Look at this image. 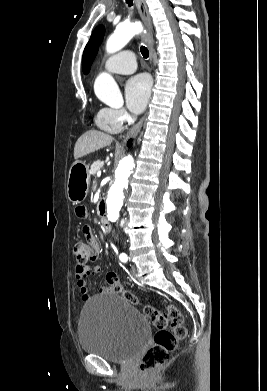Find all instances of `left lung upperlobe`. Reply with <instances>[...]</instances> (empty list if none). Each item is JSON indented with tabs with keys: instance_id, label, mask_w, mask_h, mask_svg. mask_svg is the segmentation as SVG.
<instances>
[{
	"instance_id": "obj_1",
	"label": "left lung upper lobe",
	"mask_w": 267,
	"mask_h": 391,
	"mask_svg": "<svg viewBox=\"0 0 267 391\" xmlns=\"http://www.w3.org/2000/svg\"><path fill=\"white\" fill-rule=\"evenodd\" d=\"M105 33V29L103 25H99L96 27V29L93 31L91 38L89 42L87 43L84 53H83V58H82V67H83V72L87 74L90 70V66L93 62L94 57L97 54L98 51V46L100 45L103 36Z\"/></svg>"
}]
</instances>
